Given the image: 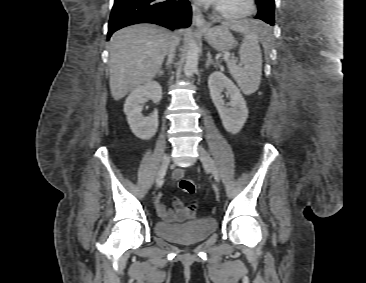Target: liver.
Instances as JSON below:
<instances>
[{
  "instance_id": "1",
  "label": "liver",
  "mask_w": 366,
  "mask_h": 283,
  "mask_svg": "<svg viewBox=\"0 0 366 283\" xmlns=\"http://www.w3.org/2000/svg\"><path fill=\"white\" fill-rule=\"evenodd\" d=\"M227 29L247 33L251 27L243 22L223 23ZM258 33L264 29H257ZM180 30L179 33H182ZM173 33L158 25L143 23L125 27L110 40V90L120 100L142 83L151 81L158 73Z\"/></svg>"
}]
</instances>
